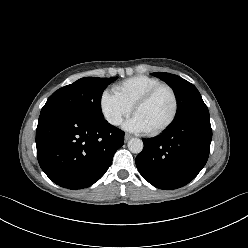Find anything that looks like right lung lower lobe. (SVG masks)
Segmentation results:
<instances>
[{
	"label": "right lung lower lobe",
	"instance_id": "right-lung-lower-lobe-1",
	"mask_svg": "<svg viewBox=\"0 0 248 248\" xmlns=\"http://www.w3.org/2000/svg\"><path fill=\"white\" fill-rule=\"evenodd\" d=\"M124 144V132L104 118L69 109L40 114L36 130L38 162L57 185L82 189L98 181Z\"/></svg>",
	"mask_w": 248,
	"mask_h": 248
}]
</instances>
